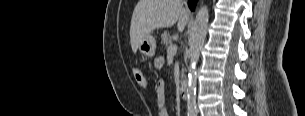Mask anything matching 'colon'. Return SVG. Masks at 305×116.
<instances>
[{"label": "colon", "instance_id": "obj_1", "mask_svg": "<svg viewBox=\"0 0 305 116\" xmlns=\"http://www.w3.org/2000/svg\"><path fill=\"white\" fill-rule=\"evenodd\" d=\"M133 76H134L135 82L137 83V85L139 87H141L143 89L147 88V86H148L147 80L139 69H137V68L133 69Z\"/></svg>", "mask_w": 305, "mask_h": 116}]
</instances>
